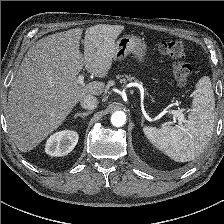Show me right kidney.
I'll return each mask as SVG.
<instances>
[{"instance_id":"right-kidney-1","label":"right kidney","mask_w":224,"mask_h":224,"mask_svg":"<svg viewBox=\"0 0 224 224\" xmlns=\"http://www.w3.org/2000/svg\"><path fill=\"white\" fill-rule=\"evenodd\" d=\"M78 138L79 136L75 131L63 130L56 132L47 139L45 152L54 157L67 155L76 146Z\"/></svg>"}]
</instances>
